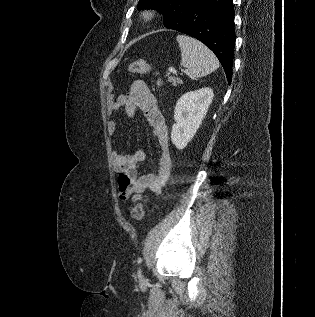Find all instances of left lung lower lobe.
Wrapping results in <instances>:
<instances>
[{
	"instance_id": "left-lung-lower-lobe-1",
	"label": "left lung lower lobe",
	"mask_w": 315,
	"mask_h": 317,
	"mask_svg": "<svg viewBox=\"0 0 315 317\" xmlns=\"http://www.w3.org/2000/svg\"><path fill=\"white\" fill-rule=\"evenodd\" d=\"M170 29L190 35L210 48L231 83L236 39L233 0H195Z\"/></svg>"
}]
</instances>
